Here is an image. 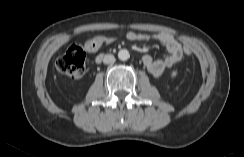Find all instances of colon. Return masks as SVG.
<instances>
[{"label":"colon","instance_id":"colon-1","mask_svg":"<svg viewBox=\"0 0 244 157\" xmlns=\"http://www.w3.org/2000/svg\"><path fill=\"white\" fill-rule=\"evenodd\" d=\"M114 40L112 37L94 36L89 39L84 47L79 44H72L67 51L58 57L55 62L57 71L69 78L78 80L85 74L86 50L95 52L108 45ZM184 55L189 57L192 51L189 47H184Z\"/></svg>","mask_w":244,"mask_h":157}]
</instances>
